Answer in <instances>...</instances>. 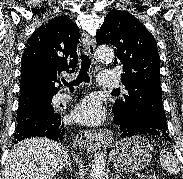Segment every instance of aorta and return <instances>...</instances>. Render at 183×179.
Instances as JSON below:
<instances>
[{"mask_svg":"<svg viewBox=\"0 0 183 179\" xmlns=\"http://www.w3.org/2000/svg\"><path fill=\"white\" fill-rule=\"evenodd\" d=\"M97 56L102 61L111 62L114 59V51L111 47L100 46L97 49ZM105 164V153L103 151H98L92 160L90 179H105Z\"/></svg>","mask_w":183,"mask_h":179,"instance_id":"aorta-1","label":"aorta"}]
</instances>
